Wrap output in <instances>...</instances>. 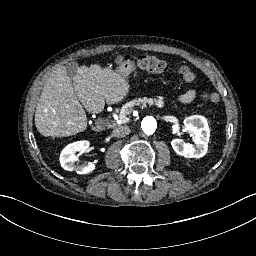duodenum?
<instances>
[{
	"mask_svg": "<svg viewBox=\"0 0 256 256\" xmlns=\"http://www.w3.org/2000/svg\"><path fill=\"white\" fill-rule=\"evenodd\" d=\"M135 68V64L132 60L127 59L123 62V64L120 66L119 71L122 75L127 76L129 75ZM103 128V124L99 125L96 128V131H100Z\"/></svg>",
	"mask_w": 256,
	"mask_h": 256,
	"instance_id": "410a0bca",
	"label": "duodenum"
}]
</instances>
